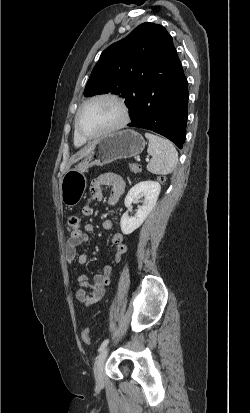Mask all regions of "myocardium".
<instances>
[{"label":"myocardium","mask_w":250,"mask_h":413,"mask_svg":"<svg viewBox=\"0 0 250 413\" xmlns=\"http://www.w3.org/2000/svg\"><path fill=\"white\" fill-rule=\"evenodd\" d=\"M98 100H110L112 102H114L120 109L121 111V118L119 120V122L117 124H115L114 126L103 130L99 133L93 134V135H86L84 133L81 132L80 127H79V118L80 115L83 111V109L90 103L98 101ZM130 121V112H129V108L127 106V104L125 103V101L118 95L113 94V93H100V94H96L90 98H88L87 100H85L81 106L79 107V109L77 110V113L75 115V119H74V127H75V133L78 135L79 138H81L84 141H88V140H94V139H99L102 138L104 136L107 135H111L114 134L120 130H122L123 128H125L128 123Z\"/></svg>","instance_id":"1"}]
</instances>
